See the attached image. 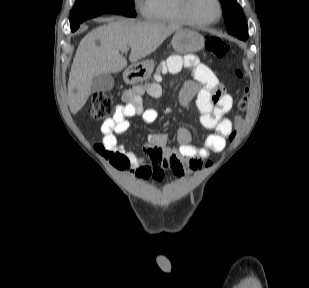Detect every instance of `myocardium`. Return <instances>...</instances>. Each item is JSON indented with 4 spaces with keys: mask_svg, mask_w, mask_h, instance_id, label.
Masks as SVG:
<instances>
[{
    "mask_svg": "<svg viewBox=\"0 0 309 288\" xmlns=\"http://www.w3.org/2000/svg\"><path fill=\"white\" fill-rule=\"evenodd\" d=\"M216 2L218 5V10H219L218 17L213 21H206V22L200 21L194 16L191 10V0H180V6H181V10L184 16L187 18L190 24L197 26V27H207V26H212V25L219 23L223 17L224 9H223L222 1L216 0Z\"/></svg>",
    "mask_w": 309,
    "mask_h": 288,
    "instance_id": "1",
    "label": "myocardium"
}]
</instances>
